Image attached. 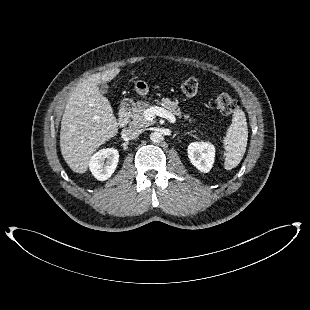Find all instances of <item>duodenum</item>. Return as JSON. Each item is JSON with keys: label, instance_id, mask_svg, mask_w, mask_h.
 Returning <instances> with one entry per match:
<instances>
[{"label": "duodenum", "instance_id": "410a0bca", "mask_svg": "<svg viewBox=\"0 0 310 310\" xmlns=\"http://www.w3.org/2000/svg\"><path fill=\"white\" fill-rule=\"evenodd\" d=\"M132 110V104L129 100L124 101L119 110L118 124L120 127L127 125Z\"/></svg>", "mask_w": 310, "mask_h": 310}]
</instances>
